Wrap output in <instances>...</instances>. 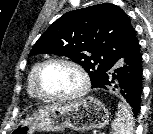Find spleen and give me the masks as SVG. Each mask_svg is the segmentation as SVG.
I'll use <instances>...</instances> for the list:
<instances>
[{
	"label": "spleen",
	"mask_w": 153,
	"mask_h": 134,
	"mask_svg": "<svg viewBox=\"0 0 153 134\" xmlns=\"http://www.w3.org/2000/svg\"><path fill=\"white\" fill-rule=\"evenodd\" d=\"M111 126L114 134H133V116L128 105L118 104V112Z\"/></svg>",
	"instance_id": "spleen-1"
}]
</instances>
